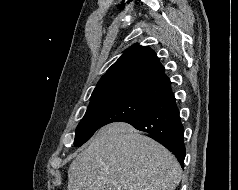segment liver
Listing matches in <instances>:
<instances>
[{
    "mask_svg": "<svg viewBox=\"0 0 238 190\" xmlns=\"http://www.w3.org/2000/svg\"><path fill=\"white\" fill-rule=\"evenodd\" d=\"M181 176L165 147L115 122L99 129L71 163L68 190H174Z\"/></svg>",
    "mask_w": 238,
    "mask_h": 190,
    "instance_id": "obj_1",
    "label": "liver"
}]
</instances>
